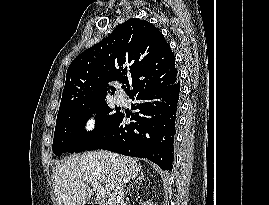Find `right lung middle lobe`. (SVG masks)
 I'll use <instances>...</instances> for the list:
<instances>
[{"label": "right lung middle lobe", "mask_w": 269, "mask_h": 205, "mask_svg": "<svg viewBox=\"0 0 269 205\" xmlns=\"http://www.w3.org/2000/svg\"><path fill=\"white\" fill-rule=\"evenodd\" d=\"M97 114L95 129L91 132L84 130L91 114ZM121 115L114 112L106 102L87 107L79 112L57 118L53 140V153H74L85 151L93 144Z\"/></svg>", "instance_id": "dd1d6c3e"}]
</instances>
